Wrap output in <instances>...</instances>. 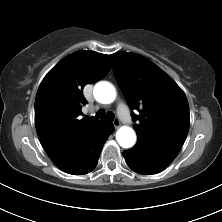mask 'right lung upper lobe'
Here are the masks:
<instances>
[{
  "label": "right lung upper lobe",
  "mask_w": 222,
  "mask_h": 222,
  "mask_svg": "<svg viewBox=\"0 0 222 222\" xmlns=\"http://www.w3.org/2000/svg\"><path fill=\"white\" fill-rule=\"evenodd\" d=\"M111 67L108 55L77 51L63 58L45 76L35 99V124L48 156L59 168L79 164L89 152L91 135L111 122L81 118L87 102L83 88L104 78Z\"/></svg>",
  "instance_id": "right-lung-upper-lobe-1"
}]
</instances>
